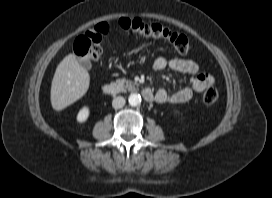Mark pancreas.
Instances as JSON below:
<instances>
[{"label":"pancreas","instance_id":"1","mask_svg":"<svg viewBox=\"0 0 272 198\" xmlns=\"http://www.w3.org/2000/svg\"><path fill=\"white\" fill-rule=\"evenodd\" d=\"M114 85L117 86L122 92H125L126 90L134 91L138 87L137 83H134L130 80H126L125 78L117 79Z\"/></svg>","mask_w":272,"mask_h":198}]
</instances>
